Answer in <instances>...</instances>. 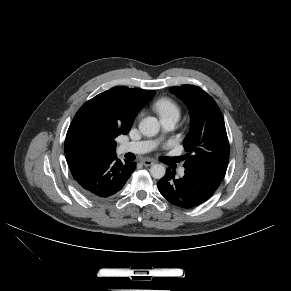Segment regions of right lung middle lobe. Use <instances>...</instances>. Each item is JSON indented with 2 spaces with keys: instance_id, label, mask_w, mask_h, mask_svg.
Masks as SVG:
<instances>
[{
  "instance_id": "1",
  "label": "right lung middle lobe",
  "mask_w": 291,
  "mask_h": 291,
  "mask_svg": "<svg viewBox=\"0 0 291 291\" xmlns=\"http://www.w3.org/2000/svg\"><path fill=\"white\" fill-rule=\"evenodd\" d=\"M89 137L92 143L99 148L110 146L111 150L115 151L116 149L115 136L100 131H91Z\"/></svg>"
}]
</instances>
